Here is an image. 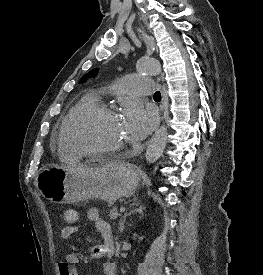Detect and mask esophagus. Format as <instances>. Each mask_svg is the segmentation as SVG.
I'll use <instances>...</instances> for the list:
<instances>
[{"label": "esophagus", "instance_id": "esophagus-1", "mask_svg": "<svg viewBox=\"0 0 263 275\" xmlns=\"http://www.w3.org/2000/svg\"><path fill=\"white\" fill-rule=\"evenodd\" d=\"M164 98V87L162 88V100Z\"/></svg>", "mask_w": 263, "mask_h": 275}]
</instances>
